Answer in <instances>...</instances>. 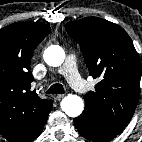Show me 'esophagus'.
Segmentation results:
<instances>
[{"instance_id": "obj_1", "label": "esophagus", "mask_w": 142, "mask_h": 142, "mask_svg": "<svg viewBox=\"0 0 142 142\" xmlns=\"http://www.w3.org/2000/svg\"><path fill=\"white\" fill-rule=\"evenodd\" d=\"M63 97H65V94H58L56 95V100H61Z\"/></svg>"}]
</instances>
